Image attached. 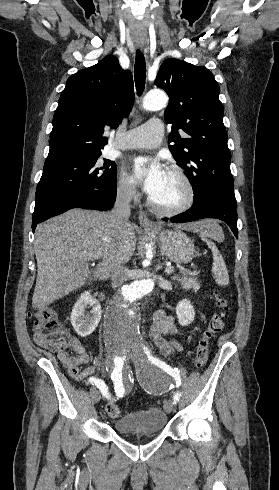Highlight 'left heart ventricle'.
I'll return each instance as SVG.
<instances>
[{
    "label": "left heart ventricle",
    "mask_w": 279,
    "mask_h": 490,
    "mask_svg": "<svg viewBox=\"0 0 279 490\" xmlns=\"http://www.w3.org/2000/svg\"><path fill=\"white\" fill-rule=\"evenodd\" d=\"M185 197L183 183L172 173L166 172L165 184L161 194L154 200L164 206H174Z\"/></svg>",
    "instance_id": "left-heart-ventricle-1"
}]
</instances>
